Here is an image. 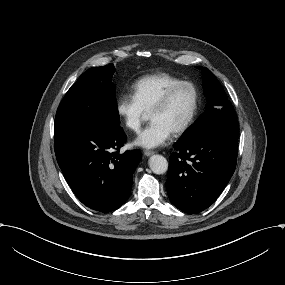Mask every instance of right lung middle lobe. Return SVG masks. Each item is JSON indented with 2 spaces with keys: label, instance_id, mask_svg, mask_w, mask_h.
Returning <instances> with one entry per match:
<instances>
[{
  "label": "right lung middle lobe",
  "instance_id": "obj_1",
  "mask_svg": "<svg viewBox=\"0 0 285 285\" xmlns=\"http://www.w3.org/2000/svg\"><path fill=\"white\" fill-rule=\"evenodd\" d=\"M113 64L93 67L83 73L61 101L56 117L58 125L120 126L112 77Z\"/></svg>",
  "mask_w": 285,
  "mask_h": 285
}]
</instances>
